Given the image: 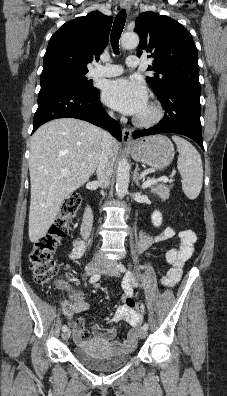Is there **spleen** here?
<instances>
[{
  "mask_svg": "<svg viewBox=\"0 0 227 396\" xmlns=\"http://www.w3.org/2000/svg\"><path fill=\"white\" fill-rule=\"evenodd\" d=\"M177 145L179 157L177 168L182 177V189L189 199L198 197L203 183V166L199 152L187 140L172 136Z\"/></svg>",
  "mask_w": 227,
  "mask_h": 396,
  "instance_id": "obj_1",
  "label": "spleen"
}]
</instances>
